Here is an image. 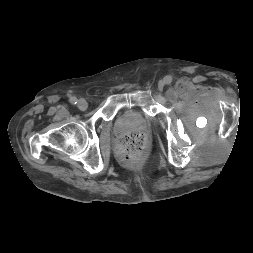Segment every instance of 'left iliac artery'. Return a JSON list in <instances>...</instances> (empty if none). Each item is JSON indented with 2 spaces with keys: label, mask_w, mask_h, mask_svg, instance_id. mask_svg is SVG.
Here are the masks:
<instances>
[{
  "label": "left iliac artery",
  "mask_w": 253,
  "mask_h": 253,
  "mask_svg": "<svg viewBox=\"0 0 253 253\" xmlns=\"http://www.w3.org/2000/svg\"><path fill=\"white\" fill-rule=\"evenodd\" d=\"M164 80H165V83H166V84H170V83L172 82V77H171V76H166V77L164 78Z\"/></svg>",
  "instance_id": "obj_1"
}]
</instances>
